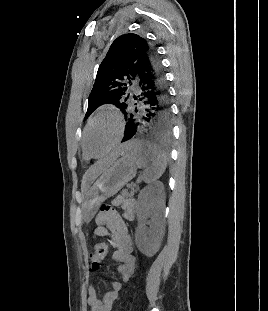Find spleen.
I'll return each mask as SVG.
<instances>
[{"label": "spleen", "instance_id": "obj_1", "mask_svg": "<svg viewBox=\"0 0 268 311\" xmlns=\"http://www.w3.org/2000/svg\"><path fill=\"white\" fill-rule=\"evenodd\" d=\"M124 147L133 155L135 153V163L138 168H142L143 180L150 184L159 179L167 166L166 156L155 146L146 144V140H124Z\"/></svg>", "mask_w": 268, "mask_h": 311}]
</instances>
